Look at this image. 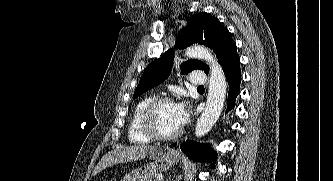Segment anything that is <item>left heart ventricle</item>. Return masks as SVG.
Returning a JSON list of instances; mask_svg holds the SVG:
<instances>
[{"instance_id": "1", "label": "left heart ventricle", "mask_w": 333, "mask_h": 181, "mask_svg": "<svg viewBox=\"0 0 333 181\" xmlns=\"http://www.w3.org/2000/svg\"><path fill=\"white\" fill-rule=\"evenodd\" d=\"M155 125L164 134L173 133L180 128L176 119L175 104L167 103L160 106L155 115Z\"/></svg>"}]
</instances>
